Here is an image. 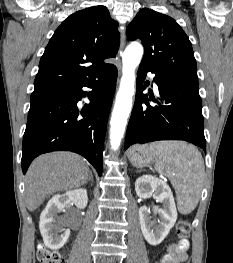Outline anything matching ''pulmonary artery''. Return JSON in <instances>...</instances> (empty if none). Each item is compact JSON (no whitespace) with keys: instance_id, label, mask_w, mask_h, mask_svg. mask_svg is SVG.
<instances>
[{"instance_id":"pulmonary-artery-1","label":"pulmonary artery","mask_w":233,"mask_h":263,"mask_svg":"<svg viewBox=\"0 0 233 263\" xmlns=\"http://www.w3.org/2000/svg\"><path fill=\"white\" fill-rule=\"evenodd\" d=\"M150 77L153 79V75H150ZM153 88L155 91H158V86L155 82H153Z\"/></svg>"}]
</instances>
